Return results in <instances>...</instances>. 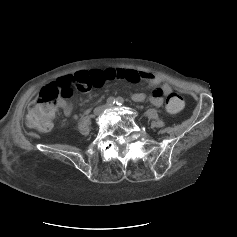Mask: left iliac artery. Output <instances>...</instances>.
<instances>
[{"label":"left iliac artery","instance_id":"44dca946","mask_svg":"<svg viewBox=\"0 0 237 237\" xmlns=\"http://www.w3.org/2000/svg\"><path fill=\"white\" fill-rule=\"evenodd\" d=\"M124 103V99L122 98V97H118L117 99H116V104L117 105H122Z\"/></svg>","mask_w":237,"mask_h":237}]
</instances>
